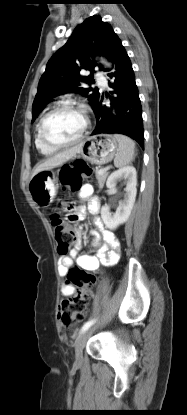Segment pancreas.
<instances>
[{
	"label": "pancreas",
	"instance_id": "obj_1",
	"mask_svg": "<svg viewBox=\"0 0 187 415\" xmlns=\"http://www.w3.org/2000/svg\"><path fill=\"white\" fill-rule=\"evenodd\" d=\"M107 176H108V173L105 172L103 174H99V170H96V179L98 180V185L100 189L103 188Z\"/></svg>",
	"mask_w": 187,
	"mask_h": 415
}]
</instances>
